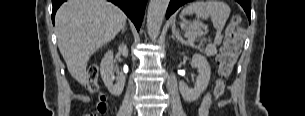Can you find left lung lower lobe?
Returning <instances> with one entry per match:
<instances>
[{"mask_svg":"<svg viewBox=\"0 0 305 116\" xmlns=\"http://www.w3.org/2000/svg\"><path fill=\"white\" fill-rule=\"evenodd\" d=\"M192 0H171L167 9L166 18H169L180 6ZM241 6L244 8L247 16L250 19L251 0H238Z\"/></svg>","mask_w":305,"mask_h":116,"instance_id":"1","label":"left lung lower lobe"}]
</instances>
